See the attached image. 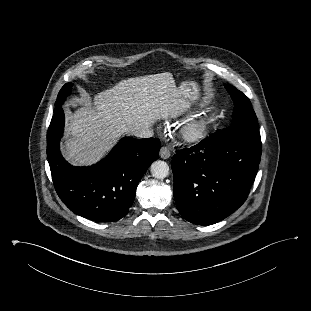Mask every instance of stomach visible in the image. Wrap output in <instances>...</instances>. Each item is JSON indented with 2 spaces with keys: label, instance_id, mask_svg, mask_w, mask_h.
<instances>
[{
  "label": "stomach",
  "instance_id": "obj_1",
  "mask_svg": "<svg viewBox=\"0 0 311 311\" xmlns=\"http://www.w3.org/2000/svg\"><path fill=\"white\" fill-rule=\"evenodd\" d=\"M180 88L190 99H196L199 97V87L198 83L195 81H184L181 83Z\"/></svg>",
  "mask_w": 311,
  "mask_h": 311
}]
</instances>
